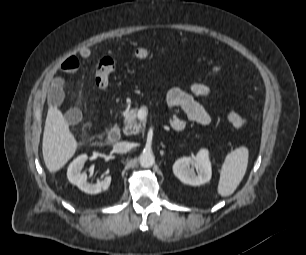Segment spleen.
Wrapping results in <instances>:
<instances>
[{
	"label": "spleen",
	"mask_w": 306,
	"mask_h": 255,
	"mask_svg": "<svg viewBox=\"0 0 306 255\" xmlns=\"http://www.w3.org/2000/svg\"><path fill=\"white\" fill-rule=\"evenodd\" d=\"M248 149L240 147L227 154L220 171L218 194L227 197L233 194L243 179L248 165Z\"/></svg>",
	"instance_id": "obj_1"
}]
</instances>
